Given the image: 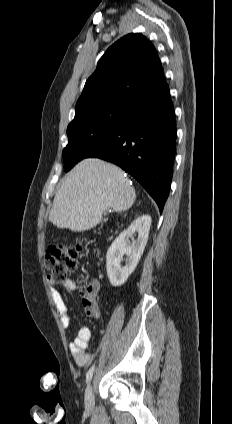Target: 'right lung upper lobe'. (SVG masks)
Returning a JSON list of instances; mask_svg holds the SVG:
<instances>
[{
	"label": "right lung upper lobe",
	"mask_w": 232,
	"mask_h": 424,
	"mask_svg": "<svg viewBox=\"0 0 232 424\" xmlns=\"http://www.w3.org/2000/svg\"><path fill=\"white\" fill-rule=\"evenodd\" d=\"M165 83L154 45L141 34H128L107 49L85 83L75 114L103 104L133 105Z\"/></svg>",
	"instance_id": "right-lung-upper-lobe-1"
}]
</instances>
